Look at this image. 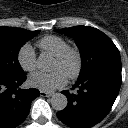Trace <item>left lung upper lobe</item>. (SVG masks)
<instances>
[{
    "instance_id": "obj_1",
    "label": "left lung upper lobe",
    "mask_w": 128,
    "mask_h": 128,
    "mask_svg": "<svg viewBox=\"0 0 128 128\" xmlns=\"http://www.w3.org/2000/svg\"><path fill=\"white\" fill-rule=\"evenodd\" d=\"M56 31L75 38L82 58L79 78L84 77L98 66L108 64L121 66L119 50L102 31L89 26H75Z\"/></svg>"
}]
</instances>
